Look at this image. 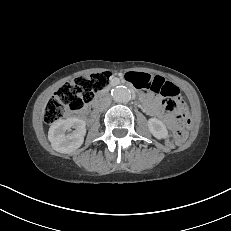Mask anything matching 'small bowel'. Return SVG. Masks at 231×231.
<instances>
[{"mask_svg":"<svg viewBox=\"0 0 231 231\" xmlns=\"http://www.w3.org/2000/svg\"><path fill=\"white\" fill-rule=\"evenodd\" d=\"M133 76H139L140 79H135ZM127 79L136 88L145 89L150 92L149 94H144V109L147 113L162 117L169 126L175 124V117L171 114V110L174 106L172 105V100L168 98L162 100L153 95V93L159 94L160 89L166 85L174 86L170 81L162 76L146 72H129L127 74ZM180 110L185 111L183 104H180Z\"/></svg>","mask_w":231,"mask_h":231,"instance_id":"1","label":"small bowel"}]
</instances>
